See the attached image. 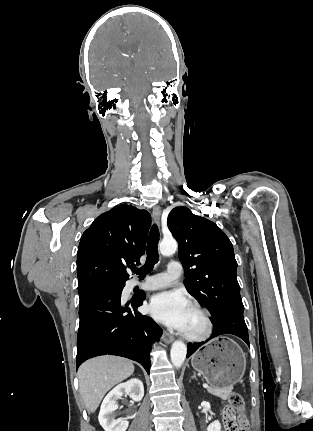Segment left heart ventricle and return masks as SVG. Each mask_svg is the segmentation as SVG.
<instances>
[{
  "instance_id": "left-heart-ventricle-1",
  "label": "left heart ventricle",
  "mask_w": 313,
  "mask_h": 431,
  "mask_svg": "<svg viewBox=\"0 0 313 431\" xmlns=\"http://www.w3.org/2000/svg\"><path fill=\"white\" fill-rule=\"evenodd\" d=\"M204 320L202 316L195 311L194 309H190L187 319V326L184 332L187 333H200L204 329Z\"/></svg>"
}]
</instances>
